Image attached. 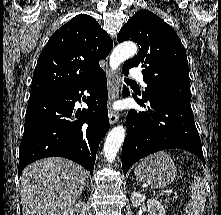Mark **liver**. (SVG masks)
<instances>
[{"label": "liver", "instance_id": "liver-1", "mask_svg": "<svg viewBox=\"0 0 221 215\" xmlns=\"http://www.w3.org/2000/svg\"><path fill=\"white\" fill-rule=\"evenodd\" d=\"M20 181L22 215H60L78 201L87 172L73 161L51 157L28 165Z\"/></svg>", "mask_w": 221, "mask_h": 215}]
</instances>
